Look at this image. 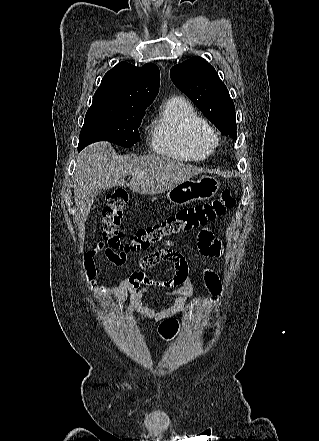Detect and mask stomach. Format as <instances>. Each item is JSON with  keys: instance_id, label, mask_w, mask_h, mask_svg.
Here are the masks:
<instances>
[{"instance_id": "obj_1", "label": "stomach", "mask_w": 319, "mask_h": 441, "mask_svg": "<svg viewBox=\"0 0 319 441\" xmlns=\"http://www.w3.org/2000/svg\"><path fill=\"white\" fill-rule=\"evenodd\" d=\"M220 183L211 175H203L197 180L187 179L168 190L166 198L169 202L183 206L193 201H203L213 197Z\"/></svg>"}]
</instances>
